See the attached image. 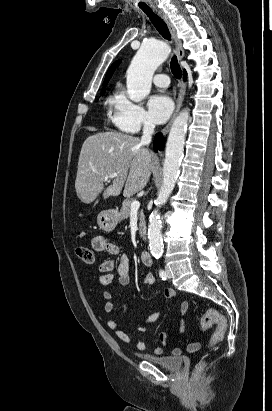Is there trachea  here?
<instances>
[{
  "mask_svg": "<svg viewBox=\"0 0 272 411\" xmlns=\"http://www.w3.org/2000/svg\"><path fill=\"white\" fill-rule=\"evenodd\" d=\"M140 8L147 14L157 31L167 40H170L171 34L166 23L158 15H156L148 6H140ZM171 72L175 78L180 79L182 77V71L178 64L177 57L174 55L170 62Z\"/></svg>",
  "mask_w": 272,
  "mask_h": 411,
  "instance_id": "3493384b",
  "label": "trachea"
}]
</instances>
